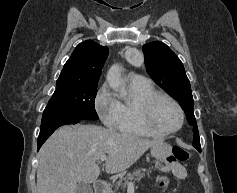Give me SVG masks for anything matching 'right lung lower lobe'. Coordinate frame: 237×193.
Segmentation results:
<instances>
[{
    "label": "right lung lower lobe",
    "instance_id": "98d812e1",
    "mask_svg": "<svg viewBox=\"0 0 237 193\" xmlns=\"http://www.w3.org/2000/svg\"><path fill=\"white\" fill-rule=\"evenodd\" d=\"M81 120L69 118L60 114L44 112L42 116V123L40 134L38 137L37 150L40 149L42 144L48 137L60 126L66 124H76Z\"/></svg>",
    "mask_w": 237,
    "mask_h": 193
}]
</instances>
